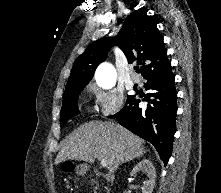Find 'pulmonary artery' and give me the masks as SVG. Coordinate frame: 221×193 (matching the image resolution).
Segmentation results:
<instances>
[{
    "instance_id": "pulmonary-artery-1",
    "label": "pulmonary artery",
    "mask_w": 221,
    "mask_h": 193,
    "mask_svg": "<svg viewBox=\"0 0 221 193\" xmlns=\"http://www.w3.org/2000/svg\"><path fill=\"white\" fill-rule=\"evenodd\" d=\"M130 80L133 84H139L140 83V76L136 73H132L130 76Z\"/></svg>"
}]
</instances>
